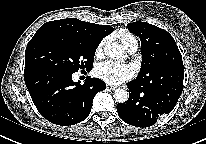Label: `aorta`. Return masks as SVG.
<instances>
[{"instance_id": "aorta-1", "label": "aorta", "mask_w": 206, "mask_h": 144, "mask_svg": "<svg viewBox=\"0 0 206 144\" xmlns=\"http://www.w3.org/2000/svg\"><path fill=\"white\" fill-rule=\"evenodd\" d=\"M105 55L111 59H123L125 57L122 45L115 42H108L104 47ZM129 98V93L125 89H116L114 99L118 103H125Z\"/></svg>"}]
</instances>
